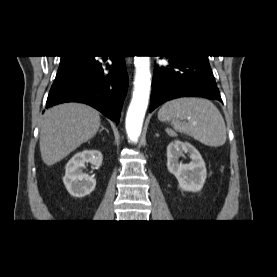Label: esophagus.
<instances>
[{
	"instance_id": "34e87169",
	"label": "esophagus",
	"mask_w": 277,
	"mask_h": 277,
	"mask_svg": "<svg viewBox=\"0 0 277 277\" xmlns=\"http://www.w3.org/2000/svg\"><path fill=\"white\" fill-rule=\"evenodd\" d=\"M126 60L128 61V63H130V61H131L130 58H126Z\"/></svg>"
}]
</instances>
